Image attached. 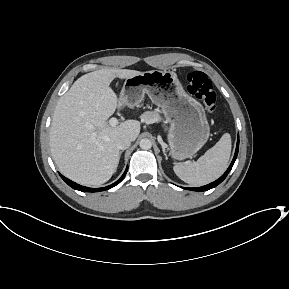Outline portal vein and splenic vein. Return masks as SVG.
Returning <instances> with one entry per match:
<instances>
[{"label":"portal vein and splenic vein","mask_w":289,"mask_h":289,"mask_svg":"<svg viewBox=\"0 0 289 289\" xmlns=\"http://www.w3.org/2000/svg\"><path fill=\"white\" fill-rule=\"evenodd\" d=\"M118 124L117 118L113 117L109 120V125L115 127Z\"/></svg>","instance_id":"obj_1"}]
</instances>
